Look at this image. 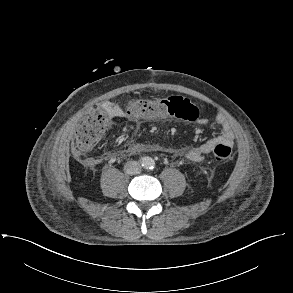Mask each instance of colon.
I'll return each mask as SVG.
<instances>
[{"label":"colon","mask_w":293,"mask_h":293,"mask_svg":"<svg viewBox=\"0 0 293 293\" xmlns=\"http://www.w3.org/2000/svg\"><path fill=\"white\" fill-rule=\"evenodd\" d=\"M126 113L132 118L149 120L175 117L192 121L199 116L198 108L182 96H170L158 100L138 99L127 106ZM109 123L110 117L105 110L87 116L77 128L72 145L74 154L83 157L100 139ZM213 154L218 162L225 163L232 157V148L223 142H218L214 146Z\"/></svg>","instance_id":"5ec220e1"}]
</instances>
